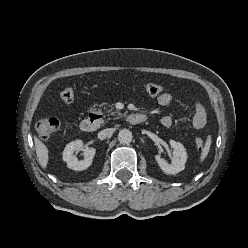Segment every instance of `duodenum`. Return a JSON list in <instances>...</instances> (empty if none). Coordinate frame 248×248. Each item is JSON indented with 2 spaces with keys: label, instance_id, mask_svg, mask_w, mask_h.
Returning a JSON list of instances; mask_svg holds the SVG:
<instances>
[{
  "label": "duodenum",
  "instance_id": "duodenum-1",
  "mask_svg": "<svg viewBox=\"0 0 248 248\" xmlns=\"http://www.w3.org/2000/svg\"><path fill=\"white\" fill-rule=\"evenodd\" d=\"M126 122L131 125H138L147 120V116L142 113H131L125 116ZM101 125L100 116L94 113L87 115L80 123L81 131L85 133H92L96 131Z\"/></svg>",
  "mask_w": 248,
  "mask_h": 248
}]
</instances>
